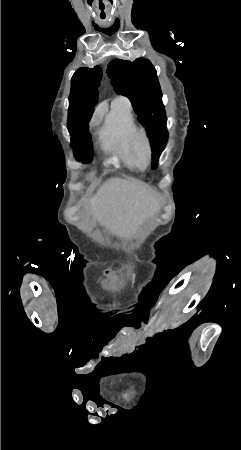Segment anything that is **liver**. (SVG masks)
<instances>
[{
  "mask_svg": "<svg viewBox=\"0 0 241 450\" xmlns=\"http://www.w3.org/2000/svg\"><path fill=\"white\" fill-rule=\"evenodd\" d=\"M161 198L141 182L110 178L90 198L88 210L106 228L138 222L145 214L159 210Z\"/></svg>",
  "mask_w": 241,
  "mask_h": 450,
  "instance_id": "1",
  "label": "liver"
}]
</instances>
